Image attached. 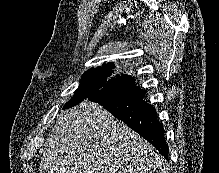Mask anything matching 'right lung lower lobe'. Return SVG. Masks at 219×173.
I'll list each match as a JSON object with an SVG mask.
<instances>
[{
  "mask_svg": "<svg viewBox=\"0 0 219 173\" xmlns=\"http://www.w3.org/2000/svg\"><path fill=\"white\" fill-rule=\"evenodd\" d=\"M145 93L143 89L136 86L134 77L129 76L119 91L93 95L88 100L102 105L167 158L169 148L164 141L163 124L156 120L155 108L144 101Z\"/></svg>",
  "mask_w": 219,
  "mask_h": 173,
  "instance_id": "98d812e1",
  "label": "right lung lower lobe"
}]
</instances>
